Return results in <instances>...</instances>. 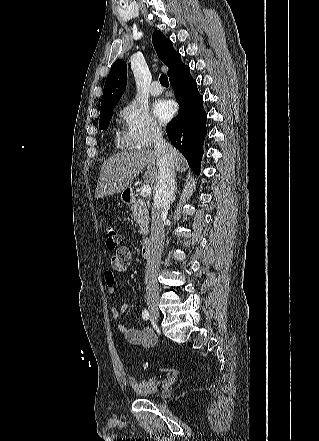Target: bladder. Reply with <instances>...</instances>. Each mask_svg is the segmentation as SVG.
I'll list each match as a JSON object with an SVG mask.
<instances>
[{
  "instance_id": "1",
  "label": "bladder",
  "mask_w": 319,
  "mask_h": 441,
  "mask_svg": "<svg viewBox=\"0 0 319 441\" xmlns=\"http://www.w3.org/2000/svg\"><path fill=\"white\" fill-rule=\"evenodd\" d=\"M130 385L135 392V394L139 397H152L157 394L160 382L157 377H149L146 379H131Z\"/></svg>"
}]
</instances>
